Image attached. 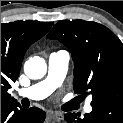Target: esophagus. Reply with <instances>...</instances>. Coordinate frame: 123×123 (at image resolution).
<instances>
[{"label": "esophagus", "instance_id": "esophagus-1", "mask_svg": "<svg viewBox=\"0 0 123 123\" xmlns=\"http://www.w3.org/2000/svg\"><path fill=\"white\" fill-rule=\"evenodd\" d=\"M49 117L53 118L57 122H60L61 120H63V114L60 112L49 113Z\"/></svg>", "mask_w": 123, "mask_h": 123}]
</instances>
